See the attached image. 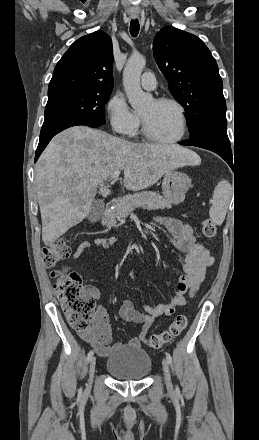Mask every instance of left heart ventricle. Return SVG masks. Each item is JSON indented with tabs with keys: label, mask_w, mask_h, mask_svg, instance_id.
Returning <instances> with one entry per match:
<instances>
[{
	"label": "left heart ventricle",
	"mask_w": 259,
	"mask_h": 440,
	"mask_svg": "<svg viewBox=\"0 0 259 440\" xmlns=\"http://www.w3.org/2000/svg\"><path fill=\"white\" fill-rule=\"evenodd\" d=\"M151 131L158 137L170 139L180 132L177 108L172 104H157L151 101L141 112Z\"/></svg>",
	"instance_id": "b2bd125f"
}]
</instances>
